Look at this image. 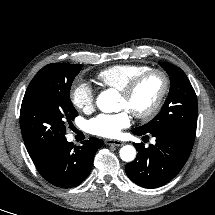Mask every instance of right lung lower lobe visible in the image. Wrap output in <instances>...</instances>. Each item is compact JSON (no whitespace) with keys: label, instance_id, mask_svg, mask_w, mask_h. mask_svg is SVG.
I'll return each instance as SVG.
<instances>
[{"label":"right lung lower lobe","instance_id":"right-lung-lower-lobe-1","mask_svg":"<svg viewBox=\"0 0 215 215\" xmlns=\"http://www.w3.org/2000/svg\"><path fill=\"white\" fill-rule=\"evenodd\" d=\"M103 145L97 138H89L82 146L67 142L66 138L45 151L34 164L49 183L71 188L79 185L89 175L94 155Z\"/></svg>","mask_w":215,"mask_h":215}]
</instances>
